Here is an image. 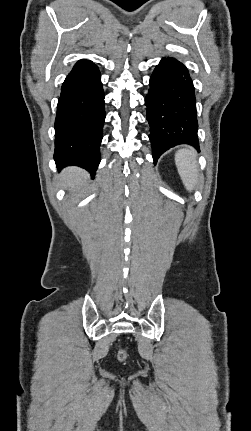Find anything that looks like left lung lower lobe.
Here are the masks:
<instances>
[{"label":"left lung lower lobe","instance_id":"left-lung-lower-lobe-1","mask_svg":"<svg viewBox=\"0 0 251 431\" xmlns=\"http://www.w3.org/2000/svg\"><path fill=\"white\" fill-rule=\"evenodd\" d=\"M145 97L154 163L171 147L198 148V123L193 82L186 67L174 58L156 66Z\"/></svg>","mask_w":251,"mask_h":431}]
</instances>
